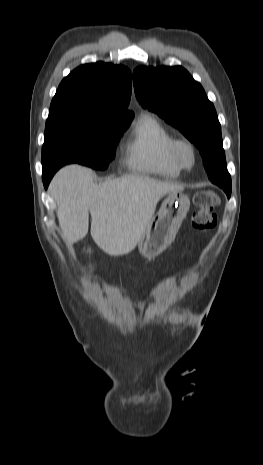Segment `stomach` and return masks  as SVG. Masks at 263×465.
<instances>
[{"mask_svg": "<svg viewBox=\"0 0 263 465\" xmlns=\"http://www.w3.org/2000/svg\"><path fill=\"white\" fill-rule=\"evenodd\" d=\"M189 207L190 200L182 192L168 193L140 236L138 248L142 256L155 258L171 244Z\"/></svg>", "mask_w": 263, "mask_h": 465, "instance_id": "1", "label": "stomach"}]
</instances>
